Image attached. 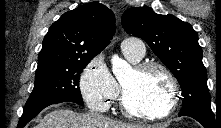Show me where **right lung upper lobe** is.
<instances>
[{"mask_svg":"<svg viewBox=\"0 0 221 128\" xmlns=\"http://www.w3.org/2000/svg\"><path fill=\"white\" fill-rule=\"evenodd\" d=\"M115 33V16L105 5L91 2L63 14L49 28L37 70L93 59Z\"/></svg>","mask_w":221,"mask_h":128,"instance_id":"cb5924a9","label":"right lung upper lobe"}]
</instances>
